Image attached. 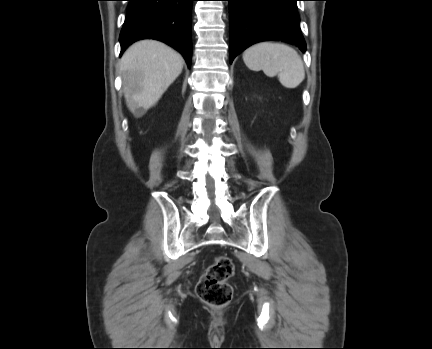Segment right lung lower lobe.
Instances as JSON below:
<instances>
[{
	"instance_id": "1",
	"label": "right lung lower lobe",
	"mask_w": 432,
	"mask_h": 349,
	"mask_svg": "<svg viewBox=\"0 0 432 349\" xmlns=\"http://www.w3.org/2000/svg\"><path fill=\"white\" fill-rule=\"evenodd\" d=\"M120 33L121 53L141 39L160 40L178 50L191 64V11L194 0H128Z\"/></svg>"
}]
</instances>
